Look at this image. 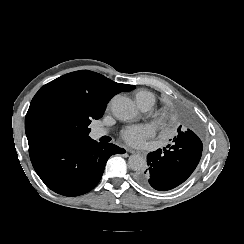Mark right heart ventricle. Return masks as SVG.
I'll list each match as a JSON object with an SVG mask.
<instances>
[{"label":"right heart ventricle","mask_w":244,"mask_h":244,"mask_svg":"<svg viewBox=\"0 0 244 244\" xmlns=\"http://www.w3.org/2000/svg\"><path fill=\"white\" fill-rule=\"evenodd\" d=\"M141 93H148V94L153 95L151 92L146 91V90H140V91L135 92V93L133 94V96H134V100H135L136 104H137V97H138V95L141 94ZM153 96H154V95H153ZM154 98H155V96H154ZM137 106H138V104H137Z\"/></svg>","instance_id":"right-heart-ventricle-1"}]
</instances>
